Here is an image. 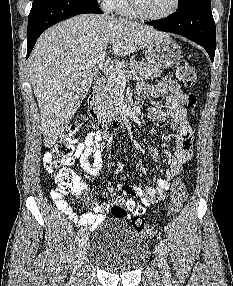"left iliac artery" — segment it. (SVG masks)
<instances>
[{
	"mask_svg": "<svg viewBox=\"0 0 233 286\" xmlns=\"http://www.w3.org/2000/svg\"><path fill=\"white\" fill-rule=\"evenodd\" d=\"M159 246L161 247V249L163 250L164 253H167V246H166L165 241L163 239H160Z\"/></svg>",
	"mask_w": 233,
	"mask_h": 286,
	"instance_id": "left-iliac-artery-1",
	"label": "left iliac artery"
}]
</instances>
